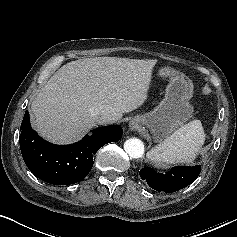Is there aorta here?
Returning a JSON list of instances; mask_svg holds the SVG:
<instances>
[{
	"label": "aorta",
	"mask_w": 237,
	"mask_h": 237,
	"mask_svg": "<svg viewBox=\"0 0 237 237\" xmlns=\"http://www.w3.org/2000/svg\"><path fill=\"white\" fill-rule=\"evenodd\" d=\"M144 144L140 139L131 138L125 141L124 150L132 158H141L144 154Z\"/></svg>",
	"instance_id": "762f6f07"
}]
</instances>
